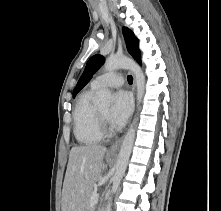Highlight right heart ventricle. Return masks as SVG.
I'll list each match as a JSON object with an SVG mask.
<instances>
[{
  "mask_svg": "<svg viewBox=\"0 0 221 211\" xmlns=\"http://www.w3.org/2000/svg\"><path fill=\"white\" fill-rule=\"evenodd\" d=\"M98 88L92 84L79 95L74 112V135L76 140L84 145L99 143L103 138L98 108L94 104V96Z\"/></svg>",
  "mask_w": 221,
  "mask_h": 211,
  "instance_id": "obj_1",
  "label": "right heart ventricle"
}]
</instances>
